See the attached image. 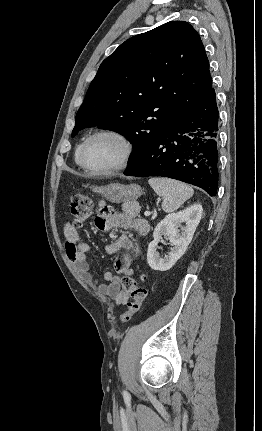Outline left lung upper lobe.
Masks as SVG:
<instances>
[{
	"label": "left lung upper lobe",
	"instance_id": "1",
	"mask_svg": "<svg viewBox=\"0 0 262 431\" xmlns=\"http://www.w3.org/2000/svg\"><path fill=\"white\" fill-rule=\"evenodd\" d=\"M212 88L202 41L184 21H170L122 43L100 65L77 112L74 137L99 126L133 145L130 166Z\"/></svg>",
	"mask_w": 262,
	"mask_h": 431
}]
</instances>
